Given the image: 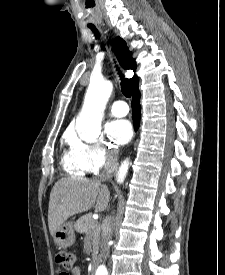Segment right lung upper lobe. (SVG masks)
Listing matches in <instances>:
<instances>
[{
	"instance_id": "right-lung-upper-lobe-1",
	"label": "right lung upper lobe",
	"mask_w": 225,
	"mask_h": 275,
	"mask_svg": "<svg viewBox=\"0 0 225 275\" xmlns=\"http://www.w3.org/2000/svg\"><path fill=\"white\" fill-rule=\"evenodd\" d=\"M113 50L121 64V66L125 69H132L134 72L136 71V63L135 60L132 59V54L129 52L127 44L120 37H116L112 44ZM131 84L133 89L138 87V77L134 75L131 79Z\"/></svg>"
}]
</instances>
